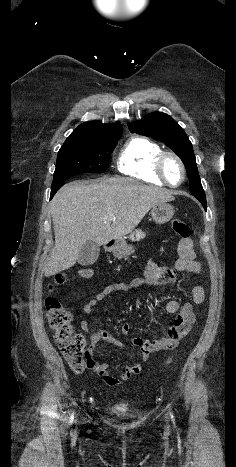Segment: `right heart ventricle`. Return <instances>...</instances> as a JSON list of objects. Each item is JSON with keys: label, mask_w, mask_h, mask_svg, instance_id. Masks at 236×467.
<instances>
[{"label": "right heart ventricle", "mask_w": 236, "mask_h": 467, "mask_svg": "<svg viewBox=\"0 0 236 467\" xmlns=\"http://www.w3.org/2000/svg\"><path fill=\"white\" fill-rule=\"evenodd\" d=\"M162 148L145 137L130 138L121 149L117 158L120 173L141 181L163 185L164 182L155 172V162Z\"/></svg>", "instance_id": "obj_1"}]
</instances>
